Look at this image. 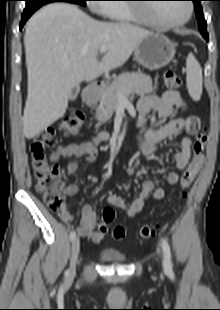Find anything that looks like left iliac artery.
I'll return each instance as SVG.
<instances>
[{
	"mask_svg": "<svg viewBox=\"0 0 220 310\" xmlns=\"http://www.w3.org/2000/svg\"><path fill=\"white\" fill-rule=\"evenodd\" d=\"M162 249L164 253V267L166 271L170 272L172 270V260H171V250L166 238H162Z\"/></svg>",
	"mask_w": 220,
	"mask_h": 310,
	"instance_id": "44dca946",
	"label": "left iliac artery"
}]
</instances>
